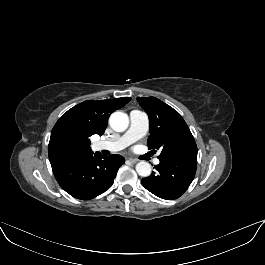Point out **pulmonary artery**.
<instances>
[{
	"label": "pulmonary artery",
	"mask_w": 265,
	"mask_h": 265,
	"mask_svg": "<svg viewBox=\"0 0 265 265\" xmlns=\"http://www.w3.org/2000/svg\"><path fill=\"white\" fill-rule=\"evenodd\" d=\"M148 129L149 121L147 116L139 110H132L130 112L129 129L119 137L98 141L96 147L99 150H109L113 152L122 150L145 136ZM154 162L159 164L160 161L159 159H155Z\"/></svg>",
	"instance_id": "pulmonary-artery-1"
}]
</instances>
